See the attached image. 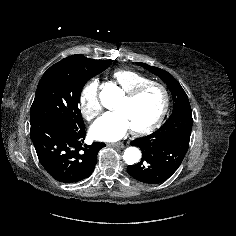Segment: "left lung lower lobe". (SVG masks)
Segmentation results:
<instances>
[{
    "label": "left lung lower lobe",
    "mask_w": 236,
    "mask_h": 236,
    "mask_svg": "<svg viewBox=\"0 0 236 236\" xmlns=\"http://www.w3.org/2000/svg\"><path fill=\"white\" fill-rule=\"evenodd\" d=\"M191 108H179L157 131L131 142L142 151L141 161L128 165L127 172L140 182L162 183L181 165L192 131Z\"/></svg>",
    "instance_id": "0a47b994"
}]
</instances>
